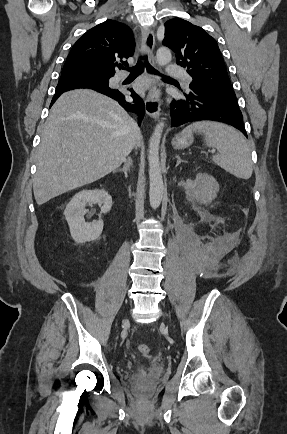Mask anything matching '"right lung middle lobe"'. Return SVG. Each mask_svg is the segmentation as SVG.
I'll return each mask as SVG.
<instances>
[{
	"label": "right lung middle lobe",
	"instance_id": "1",
	"mask_svg": "<svg viewBox=\"0 0 287 434\" xmlns=\"http://www.w3.org/2000/svg\"><path fill=\"white\" fill-rule=\"evenodd\" d=\"M109 76L97 75L85 72L62 73L60 80L83 81L89 84L108 87Z\"/></svg>",
	"mask_w": 287,
	"mask_h": 434
}]
</instances>
